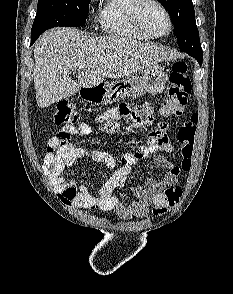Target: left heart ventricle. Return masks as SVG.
<instances>
[{"label": "left heart ventricle", "mask_w": 233, "mask_h": 294, "mask_svg": "<svg viewBox=\"0 0 233 294\" xmlns=\"http://www.w3.org/2000/svg\"><path fill=\"white\" fill-rule=\"evenodd\" d=\"M142 20L146 29L154 35H161L168 30L165 14L155 5H147L144 8Z\"/></svg>", "instance_id": "1"}]
</instances>
